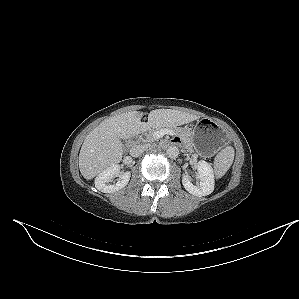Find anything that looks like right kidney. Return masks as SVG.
<instances>
[{
  "instance_id": "right-kidney-1",
  "label": "right kidney",
  "mask_w": 299,
  "mask_h": 299,
  "mask_svg": "<svg viewBox=\"0 0 299 299\" xmlns=\"http://www.w3.org/2000/svg\"><path fill=\"white\" fill-rule=\"evenodd\" d=\"M117 175H119L117 183L113 185L108 184ZM130 177L131 173L129 171L120 174V166L114 165L98 174L95 179V187L104 193H114L124 188L128 184Z\"/></svg>"
}]
</instances>
